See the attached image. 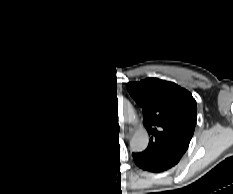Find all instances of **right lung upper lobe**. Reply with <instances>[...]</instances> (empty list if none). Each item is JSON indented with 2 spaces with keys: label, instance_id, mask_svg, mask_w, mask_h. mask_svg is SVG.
I'll return each mask as SVG.
<instances>
[{
  "label": "right lung upper lobe",
  "instance_id": "1",
  "mask_svg": "<svg viewBox=\"0 0 233 194\" xmlns=\"http://www.w3.org/2000/svg\"><path fill=\"white\" fill-rule=\"evenodd\" d=\"M92 95L84 89L68 90L47 106L45 125L54 152L72 165L93 163L105 148L90 114Z\"/></svg>",
  "mask_w": 233,
  "mask_h": 194
}]
</instances>
